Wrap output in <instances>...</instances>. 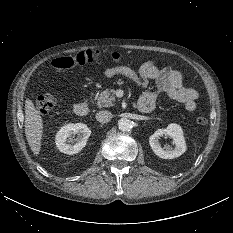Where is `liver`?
Instances as JSON below:
<instances>
[{
    "instance_id": "obj_1",
    "label": "liver",
    "mask_w": 233,
    "mask_h": 233,
    "mask_svg": "<svg viewBox=\"0 0 233 233\" xmlns=\"http://www.w3.org/2000/svg\"><path fill=\"white\" fill-rule=\"evenodd\" d=\"M43 121L33 102L27 98L25 101V135L34 155L41 149Z\"/></svg>"
}]
</instances>
